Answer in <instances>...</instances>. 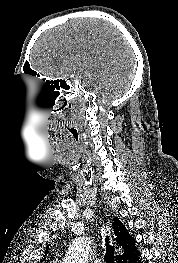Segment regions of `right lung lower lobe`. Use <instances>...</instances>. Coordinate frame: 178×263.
<instances>
[{
	"instance_id": "obj_1",
	"label": "right lung lower lobe",
	"mask_w": 178,
	"mask_h": 263,
	"mask_svg": "<svg viewBox=\"0 0 178 263\" xmlns=\"http://www.w3.org/2000/svg\"><path fill=\"white\" fill-rule=\"evenodd\" d=\"M141 254L137 250L132 256H130L126 261H123V263H142L141 260Z\"/></svg>"
}]
</instances>
